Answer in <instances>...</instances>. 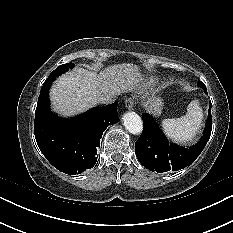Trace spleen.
<instances>
[{
    "label": "spleen",
    "instance_id": "spleen-1",
    "mask_svg": "<svg viewBox=\"0 0 233 233\" xmlns=\"http://www.w3.org/2000/svg\"><path fill=\"white\" fill-rule=\"evenodd\" d=\"M203 112L198 100H193L187 106V113L180 118L164 119V133L176 143L192 142L202 126Z\"/></svg>",
    "mask_w": 233,
    "mask_h": 233
}]
</instances>
